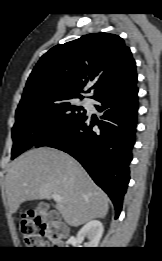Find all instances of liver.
Masks as SVG:
<instances>
[{
	"instance_id": "obj_1",
	"label": "liver",
	"mask_w": 162,
	"mask_h": 261,
	"mask_svg": "<svg viewBox=\"0 0 162 261\" xmlns=\"http://www.w3.org/2000/svg\"><path fill=\"white\" fill-rule=\"evenodd\" d=\"M9 212L16 213L28 200L59 194L55 208L70 226L104 218L109 209L107 195L83 167L68 154L54 148L32 149L18 157L6 175Z\"/></svg>"
}]
</instances>
